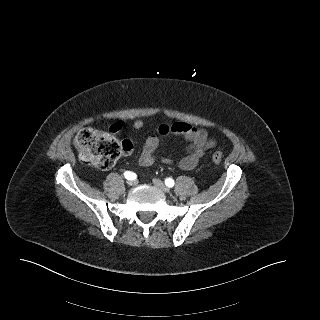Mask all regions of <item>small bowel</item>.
Instances as JSON below:
<instances>
[{"instance_id": "c3829d8e", "label": "small bowel", "mask_w": 320, "mask_h": 320, "mask_svg": "<svg viewBox=\"0 0 320 320\" xmlns=\"http://www.w3.org/2000/svg\"><path fill=\"white\" fill-rule=\"evenodd\" d=\"M143 127L144 123L142 120H136L133 123L135 131H140ZM120 128V123H115L111 126L113 132H118ZM157 133V135H150L145 139L143 150L139 157V164L141 166L149 167L157 161L156 150L160 146L162 140L170 135L182 136L188 143L186 155L177 163L178 167L182 170L194 169L204 154L216 145L215 140L209 137L207 131L193 127L187 123L176 122L172 124H162L158 127ZM129 152L130 151L125 153ZM162 162L170 164L172 163V159L162 158Z\"/></svg>"}]
</instances>
